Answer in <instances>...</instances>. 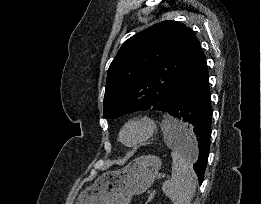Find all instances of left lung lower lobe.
Returning <instances> with one entry per match:
<instances>
[{
  "instance_id": "1",
  "label": "left lung lower lobe",
  "mask_w": 261,
  "mask_h": 204,
  "mask_svg": "<svg viewBox=\"0 0 261 204\" xmlns=\"http://www.w3.org/2000/svg\"><path fill=\"white\" fill-rule=\"evenodd\" d=\"M166 112L187 123V130L178 133L176 143L196 159L193 167L201 185L209 155L212 107L206 58L199 41Z\"/></svg>"
}]
</instances>
